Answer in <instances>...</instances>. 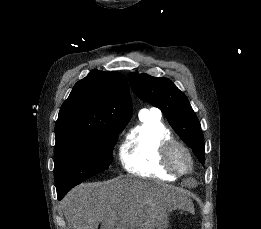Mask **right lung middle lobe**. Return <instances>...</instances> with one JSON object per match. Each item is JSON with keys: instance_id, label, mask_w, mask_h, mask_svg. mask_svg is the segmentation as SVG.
Listing matches in <instances>:
<instances>
[{"instance_id": "dd1d6c3e", "label": "right lung middle lobe", "mask_w": 261, "mask_h": 229, "mask_svg": "<svg viewBox=\"0 0 261 229\" xmlns=\"http://www.w3.org/2000/svg\"><path fill=\"white\" fill-rule=\"evenodd\" d=\"M127 124L95 128L90 134L54 147V179L58 199L74 186L109 168L118 134Z\"/></svg>"}]
</instances>
